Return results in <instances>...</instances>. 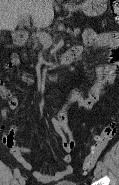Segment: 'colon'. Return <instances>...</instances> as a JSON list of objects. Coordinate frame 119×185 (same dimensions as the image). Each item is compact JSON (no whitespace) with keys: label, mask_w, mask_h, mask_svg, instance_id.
Wrapping results in <instances>:
<instances>
[{"label":"colon","mask_w":119,"mask_h":185,"mask_svg":"<svg viewBox=\"0 0 119 185\" xmlns=\"http://www.w3.org/2000/svg\"><path fill=\"white\" fill-rule=\"evenodd\" d=\"M110 10L115 21L119 20V0H110ZM116 135V123L114 121L107 124L99 136L96 137L94 146L83 162V171L89 172L94 167L97 159L102 155L109 142Z\"/></svg>","instance_id":"colon-1"}]
</instances>
